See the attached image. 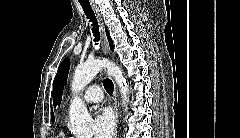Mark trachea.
<instances>
[{"label":"trachea","mask_w":240,"mask_h":138,"mask_svg":"<svg viewBox=\"0 0 240 138\" xmlns=\"http://www.w3.org/2000/svg\"><path fill=\"white\" fill-rule=\"evenodd\" d=\"M81 6L84 10L85 15L89 19V22L92 23V33L94 36V42H95V45H97L98 41L100 40V32H99V26H98V22H97L95 14H94V11L92 10L90 4H81ZM103 85H104L106 92L109 95H112L113 94L112 81L107 78L103 81Z\"/></svg>","instance_id":"3493384b"}]
</instances>
